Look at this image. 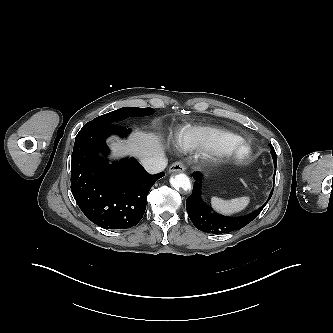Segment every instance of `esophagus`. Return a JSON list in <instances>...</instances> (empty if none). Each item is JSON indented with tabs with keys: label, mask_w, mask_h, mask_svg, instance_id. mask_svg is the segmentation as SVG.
I'll list each match as a JSON object with an SVG mask.
<instances>
[{
	"label": "esophagus",
	"mask_w": 333,
	"mask_h": 333,
	"mask_svg": "<svg viewBox=\"0 0 333 333\" xmlns=\"http://www.w3.org/2000/svg\"><path fill=\"white\" fill-rule=\"evenodd\" d=\"M183 171H185V166L182 162H175L169 167V173Z\"/></svg>",
	"instance_id": "1"
}]
</instances>
